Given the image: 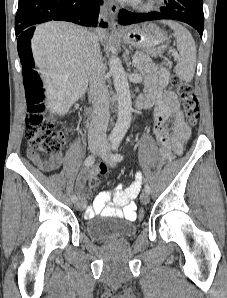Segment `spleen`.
I'll return each instance as SVG.
<instances>
[{"label": "spleen", "instance_id": "3e777b00", "mask_svg": "<svg viewBox=\"0 0 227 298\" xmlns=\"http://www.w3.org/2000/svg\"><path fill=\"white\" fill-rule=\"evenodd\" d=\"M174 30L180 60L175 67L176 74L185 82H191L196 68V46L191 33L181 24L175 21H164Z\"/></svg>", "mask_w": 227, "mask_h": 298}]
</instances>
